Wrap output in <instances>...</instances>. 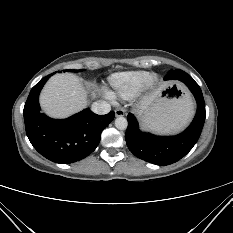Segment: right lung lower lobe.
Segmentation results:
<instances>
[{
    "instance_id": "98d812e1",
    "label": "right lung lower lobe",
    "mask_w": 233,
    "mask_h": 233,
    "mask_svg": "<svg viewBox=\"0 0 233 233\" xmlns=\"http://www.w3.org/2000/svg\"><path fill=\"white\" fill-rule=\"evenodd\" d=\"M54 73L44 77L30 91L24 106L26 134L33 147L56 163H73L92 153L101 132L114 119V112L97 115L85 109L67 119L56 120L40 112L39 93Z\"/></svg>"
}]
</instances>
